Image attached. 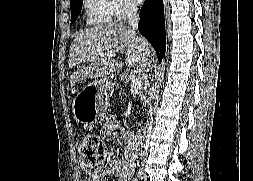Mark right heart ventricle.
<instances>
[{
  "label": "right heart ventricle",
  "mask_w": 253,
  "mask_h": 181,
  "mask_svg": "<svg viewBox=\"0 0 253 181\" xmlns=\"http://www.w3.org/2000/svg\"><path fill=\"white\" fill-rule=\"evenodd\" d=\"M85 23L89 26H103L113 21L112 0H83Z\"/></svg>",
  "instance_id": "1"
}]
</instances>
